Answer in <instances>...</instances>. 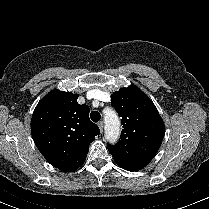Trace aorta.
Masks as SVG:
<instances>
[{"mask_svg":"<svg viewBox=\"0 0 209 209\" xmlns=\"http://www.w3.org/2000/svg\"><path fill=\"white\" fill-rule=\"evenodd\" d=\"M105 138L110 143H115L120 136V120L116 112L109 111L104 116Z\"/></svg>","mask_w":209,"mask_h":209,"instance_id":"1","label":"aorta"}]
</instances>
